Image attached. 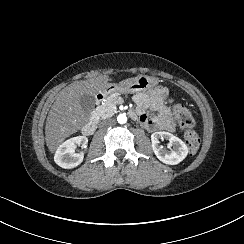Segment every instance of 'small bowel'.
Here are the masks:
<instances>
[{
  "label": "small bowel",
  "mask_w": 244,
  "mask_h": 244,
  "mask_svg": "<svg viewBox=\"0 0 244 244\" xmlns=\"http://www.w3.org/2000/svg\"><path fill=\"white\" fill-rule=\"evenodd\" d=\"M138 110V120L145 126L160 129L172 127V113L167 104L168 90L156 83L150 87L132 91Z\"/></svg>",
  "instance_id": "1"
}]
</instances>
